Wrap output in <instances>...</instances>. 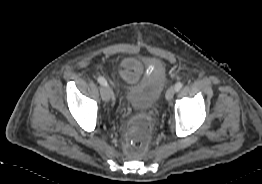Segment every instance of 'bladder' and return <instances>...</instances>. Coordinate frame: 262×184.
I'll use <instances>...</instances> for the list:
<instances>
[{"label":"bladder","mask_w":262,"mask_h":184,"mask_svg":"<svg viewBox=\"0 0 262 184\" xmlns=\"http://www.w3.org/2000/svg\"><path fill=\"white\" fill-rule=\"evenodd\" d=\"M165 74H152L128 87L125 94L127 105L134 110H149L161 97L166 87Z\"/></svg>","instance_id":"1"}]
</instances>
